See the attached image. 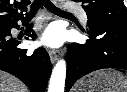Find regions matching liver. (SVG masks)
<instances>
[{"label":"liver","mask_w":127,"mask_h":92,"mask_svg":"<svg viewBox=\"0 0 127 92\" xmlns=\"http://www.w3.org/2000/svg\"><path fill=\"white\" fill-rule=\"evenodd\" d=\"M0 92H29V90L16 77L0 71Z\"/></svg>","instance_id":"6515ba94"}]
</instances>
